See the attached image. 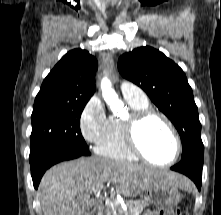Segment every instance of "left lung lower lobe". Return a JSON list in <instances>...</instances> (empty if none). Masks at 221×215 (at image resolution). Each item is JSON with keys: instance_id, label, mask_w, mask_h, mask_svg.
I'll return each instance as SVG.
<instances>
[{"instance_id": "left-lung-lower-lobe-1", "label": "left lung lower lobe", "mask_w": 221, "mask_h": 215, "mask_svg": "<svg viewBox=\"0 0 221 215\" xmlns=\"http://www.w3.org/2000/svg\"><path fill=\"white\" fill-rule=\"evenodd\" d=\"M202 168L203 157L192 155L182 159L178 164L172 166L171 170L188 176L194 181L198 190H200L202 184Z\"/></svg>"}]
</instances>
